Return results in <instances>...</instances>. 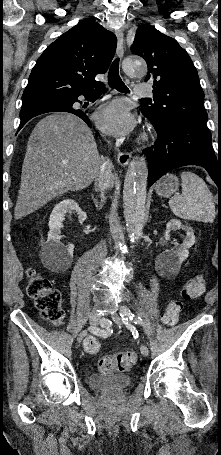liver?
Returning a JSON list of instances; mask_svg holds the SVG:
<instances>
[{"label":"liver","mask_w":221,"mask_h":455,"mask_svg":"<svg viewBox=\"0 0 221 455\" xmlns=\"http://www.w3.org/2000/svg\"><path fill=\"white\" fill-rule=\"evenodd\" d=\"M102 161L84 121L69 113L46 116L28 140L15 219L35 212L67 191L88 187Z\"/></svg>","instance_id":"6515ba94"}]
</instances>
